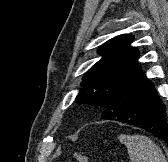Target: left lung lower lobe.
I'll return each instance as SVG.
<instances>
[{"mask_svg":"<svg viewBox=\"0 0 168 162\" xmlns=\"http://www.w3.org/2000/svg\"><path fill=\"white\" fill-rule=\"evenodd\" d=\"M101 117L145 129L168 145L166 106L141 69L109 96Z\"/></svg>","mask_w":168,"mask_h":162,"instance_id":"obj_1","label":"left lung lower lobe"}]
</instances>
